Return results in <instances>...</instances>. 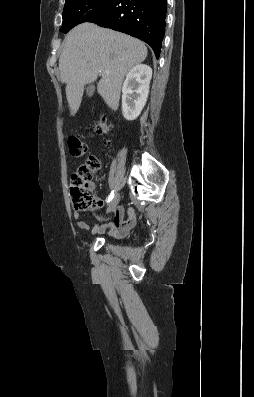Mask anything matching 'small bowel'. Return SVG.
I'll return each mask as SVG.
<instances>
[{
	"label": "small bowel",
	"mask_w": 254,
	"mask_h": 397,
	"mask_svg": "<svg viewBox=\"0 0 254 397\" xmlns=\"http://www.w3.org/2000/svg\"><path fill=\"white\" fill-rule=\"evenodd\" d=\"M90 189H93V185H90ZM99 206H103V202H99ZM114 219L111 222L105 223L103 225H96L92 228L93 234H104L107 233L109 236L121 238L126 235V233L136 224L137 218L133 209L128 210V217L125 218V212L122 207H116L114 209ZM96 218L99 221L108 220L107 217L95 213ZM73 217L77 220V225L82 230H88L89 225L80 220V215L78 212L73 213Z\"/></svg>",
	"instance_id": "1"
}]
</instances>
